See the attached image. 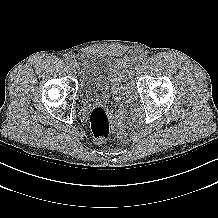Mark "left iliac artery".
<instances>
[{
	"mask_svg": "<svg viewBox=\"0 0 218 218\" xmlns=\"http://www.w3.org/2000/svg\"><path fill=\"white\" fill-rule=\"evenodd\" d=\"M146 61H147V56H146V55H143V56L140 58V62H141L142 64H145Z\"/></svg>",
	"mask_w": 218,
	"mask_h": 218,
	"instance_id": "obj_1",
	"label": "left iliac artery"
}]
</instances>
